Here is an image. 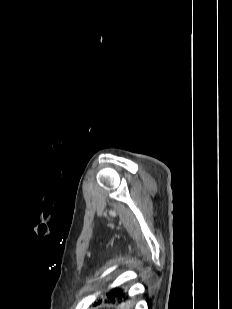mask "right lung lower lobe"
<instances>
[{
	"mask_svg": "<svg viewBox=\"0 0 232 309\" xmlns=\"http://www.w3.org/2000/svg\"><path fill=\"white\" fill-rule=\"evenodd\" d=\"M107 297L114 302L115 301V297H117L119 300H125L127 299L125 294L121 291V289H112L109 293H107Z\"/></svg>",
	"mask_w": 232,
	"mask_h": 309,
	"instance_id": "1",
	"label": "right lung lower lobe"
}]
</instances>
